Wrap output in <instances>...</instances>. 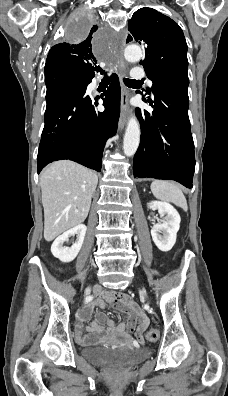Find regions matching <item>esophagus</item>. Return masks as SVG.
Returning <instances> with one entry per match:
<instances>
[{
	"label": "esophagus",
	"instance_id": "obj_1",
	"mask_svg": "<svg viewBox=\"0 0 228 396\" xmlns=\"http://www.w3.org/2000/svg\"><path fill=\"white\" fill-rule=\"evenodd\" d=\"M125 68H126V63L125 61L121 58L118 62V73L120 76V79L124 76L125 73ZM128 99H129V94L124 85L122 84V89H121V111H120V117H119V130L121 131L125 123L127 121V116L129 113V104H128Z\"/></svg>",
	"mask_w": 228,
	"mask_h": 396
}]
</instances>
